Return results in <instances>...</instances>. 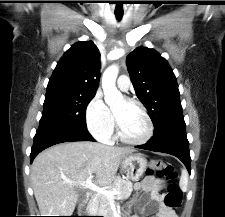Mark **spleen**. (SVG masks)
<instances>
[{
    "label": "spleen",
    "mask_w": 225,
    "mask_h": 217,
    "mask_svg": "<svg viewBox=\"0 0 225 217\" xmlns=\"http://www.w3.org/2000/svg\"><path fill=\"white\" fill-rule=\"evenodd\" d=\"M180 188L183 192L187 190V185H188V173L185 169L181 171V177H180V182H179Z\"/></svg>",
    "instance_id": "obj_1"
}]
</instances>
